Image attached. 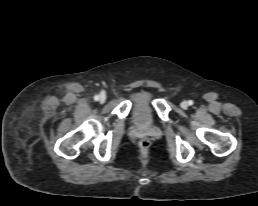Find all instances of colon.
<instances>
[{"label": "colon", "mask_w": 258, "mask_h": 206, "mask_svg": "<svg viewBox=\"0 0 258 206\" xmlns=\"http://www.w3.org/2000/svg\"><path fill=\"white\" fill-rule=\"evenodd\" d=\"M150 144H151L150 139L147 137H144L141 139L139 146L142 151H147L148 148L150 147Z\"/></svg>", "instance_id": "5ec220e1"}]
</instances>
